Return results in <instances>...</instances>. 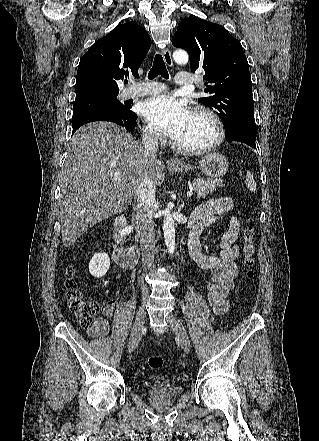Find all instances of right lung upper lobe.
I'll use <instances>...</instances> for the list:
<instances>
[{
	"mask_svg": "<svg viewBox=\"0 0 319 441\" xmlns=\"http://www.w3.org/2000/svg\"><path fill=\"white\" fill-rule=\"evenodd\" d=\"M150 45L148 33L135 22L119 25L97 40L80 60L75 101L118 95L117 81L139 76Z\"/></svg>",
	"mask_w": 319,
	"mask_h": 441,
	"instance_id": "cb5924a9",
	"label": "right lung upper lobe"
}]
</instances>
